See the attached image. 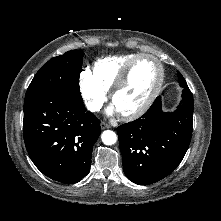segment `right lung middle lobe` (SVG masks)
Masks as SVG:
<instances>
[{
    "mask_svg": "<svg viewBox=\"0 0 221 221\" xmlns=\"http://www.w3.org/2000/svg\"><path fill=\"white\" fill-rule=\"evenodd\" d=\"M84 53L71 50L50 59L30 83L24 106L51 95H62L83 103L79 90V74Z\"/></svg>",
    "mask_w": 221,
    "mask_h": 221,
    "instance_id": "obj_1",
    "label": "right lung middle lobe"
}]
</instances>
